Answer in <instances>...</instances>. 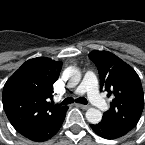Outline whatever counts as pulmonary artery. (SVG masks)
Masks as SVG:
<instances>
[{
    "label": "pulmonary artery",
    "mask_w": 145,
    "mask_h": 145,
    "mask_svg": "<svg viewBox=\"0 0 145 145\" xmlns=\"http://www.w3.org/2000/svg\"><path fill=\"white\" fill-rule=\"evenodd\" d=\"M75 93H86L90 102L99 109L108 108L107 102L99 92L98 79L94 70H88L85 73L83 80L76 88Z\"/></svg>",
    "instance_id": "pulmonary-artery-1"
}]
</instances>
